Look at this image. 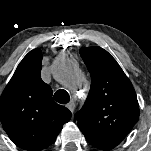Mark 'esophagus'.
I'll use <instances>...</instances> for the list:
<instances>
[{
    "label": "esophagus",
    "instance_id": "esophagus-1",
    "mask_svg": "<svg viewBox=\"0 0 151 151\" xmlns=\"http://www.w3.org/2000/svg\"><path fill=\"white\" fill-rule=\"evenodd\" d=\"M67 108L73 113L75 110V103L71 101L70 103L67 104Z\"/></svg>",
    "mask_w": 151,
    "mask_h": 151
}]
</instances>
